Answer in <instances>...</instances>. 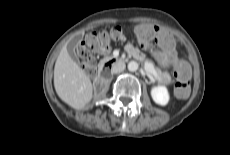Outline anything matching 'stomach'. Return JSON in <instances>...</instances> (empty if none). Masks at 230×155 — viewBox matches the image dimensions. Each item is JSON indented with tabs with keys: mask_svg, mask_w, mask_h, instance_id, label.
<instances>
[{
	"mask_svg": "<svg viewBox=\"0 0 230 155\" xmlns=\"http://www.w3.org/2000/svg\"><path fill=\"white\" fill-rule=\"evenodd\" d=\"M152 55L161 67L167 68L169 66V60L163 58L161 51H152Z\"/></svg>",
	"mask_w": 230,
	"mask_h": 155,
	"instance_id": "1",
	"label": "stomach"
}]
</instances>
